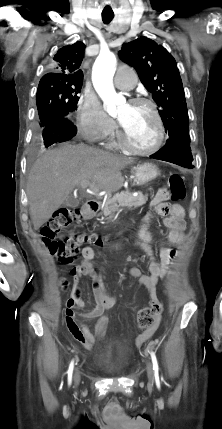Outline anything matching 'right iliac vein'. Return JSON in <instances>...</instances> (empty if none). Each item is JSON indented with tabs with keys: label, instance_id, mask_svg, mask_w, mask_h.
<instances>
[{
	"label": "right iliac vein",
	"instance_id": "1",
	"mask_svg": "<svg viewBox=\"0 0 222 429\" xmlns=\"http://www.w3.org/2000/svg\"><path fill=\"white\" fill-rule=\"evenodd\" d=\"M74 380H75V383H76V384H78V383H79V381H80V375H79V373H78V372H76V373H75Z\"/></svg>",
	"mask_w": 222,
	"mask_h": 429
}]
</instances>
